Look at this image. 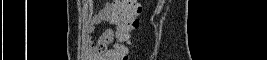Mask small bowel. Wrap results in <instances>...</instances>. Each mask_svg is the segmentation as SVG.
Segmentation results:
<instances>
[{"label":"small bowel","mask_w":267,"mask_h":60,"mask_svg":"<svg viewBox=\"0 0 267 60\" xmlns=\"http://www.w3.org/2000/svg\"><path fill=\"white\" fill-rule=\"evenodd\" d=\"M111 10L112 7L110 5H105L98 11L97 16L95 17L92 24H90L89 26V32L87 34V43L93 53L98 57L101 56V54L105 51L106 47L112 42L113 31L110 28L106 29L105 32L96 41H94L92 36L94 27L93 25L97 20L105 21L109 19Z\"/></svg>","instance_id":"small-bowel-1"}]
</instances>
